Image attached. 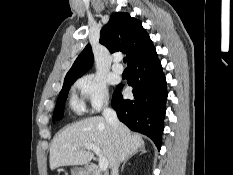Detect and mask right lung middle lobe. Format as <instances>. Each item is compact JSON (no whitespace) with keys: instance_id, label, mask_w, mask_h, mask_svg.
<instances>
[{"instance_id":"dd1d6c3e","label":"right lung middle lobe","mask_w":233,"mask_h":175,"mask_svg":"<svg viewBox=\"0 0 233 175\" xmlns=\"http://www.w3.org/2000/svg\"><path fill=\"white\" fill-rule=\"evenodd\" d=\"M76 79L64 81L63 88L59 93L56 107L53 114V121L60 120L63 117L64 112V103L68 95V91L71 85L75 82Z\"/></svg>"}]
</instances>
